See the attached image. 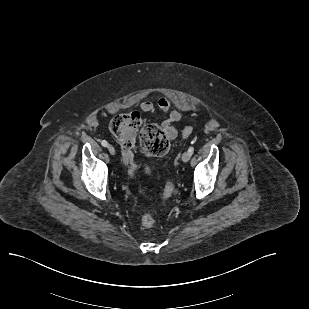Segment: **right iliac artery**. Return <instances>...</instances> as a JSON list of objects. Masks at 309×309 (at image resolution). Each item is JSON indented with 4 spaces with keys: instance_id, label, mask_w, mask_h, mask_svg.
I'll use <instances>...</instances> for the list:
<instances>
[{
    "instance_id": "obj_1",
    "label": "right iliac artery",
    "mask_w": 309,
    "mask_h": 309,
    "mask_svg": "<svg viewBox=\"0 0 309 309\" xmlns=\"http://www.w3.org/2000/svg\"><path fill=\"white\" fill-rule=\"evenodd\" d=\"M101 144L103 147H107L108 146V142L106 140H102Z\"/></svg>"
}]
</instances>
